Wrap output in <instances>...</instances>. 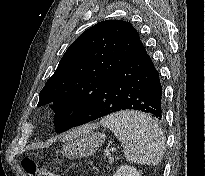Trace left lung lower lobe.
Wrapping results in <instances>:
<instances>
[{"instance_id":"0a47b994","label":"left lung lower lobe","mask_w":205,"mask_h":176,"mask_svg":"<svg viewBox=\"0 0 205 176\" xmlns=\"http://www.w3.org/2000/svg\"><path fill=\"white\" fill-rule=\"evenodd\" d=\"M162 86L143 44L98 91L95 101L79 116L73 127L126 109L163 117Z\"/></svg>"}]
</instances>
